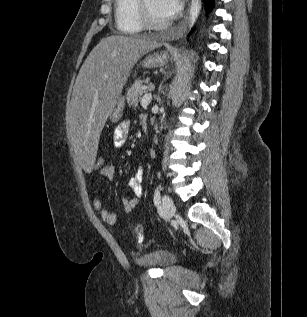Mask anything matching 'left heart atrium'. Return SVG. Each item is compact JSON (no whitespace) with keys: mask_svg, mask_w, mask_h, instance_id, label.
<instances>
[{"mask_svg":"<svg viewBox=\"0 0 307 317\" xmlns=\"http://www.w3.org/2000/svg\"><path fill=\"white\" fill-rule=\"evenodd\" d=\"M160 12L168 17L176 15L182 7L181 0H157Z\"/></svg>","mask_w":307,"mask_h":317,"instance_id":"left-heart-atrium-1","label":"left heart atrium"}]
</instances>
